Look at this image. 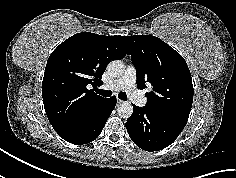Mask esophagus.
<instances>
[{
  "instance_id": "obj_1",
  "label": "esophagus",
  "mask_w": 236,
  "mask_h": 178,
  "mask_svg": "<svg viewBox=\"0 0 236 178\" xmlns=\"http://www.w3.org/2000/svg\"><path fill=\"white\" fill-rule=\"evenodd\" d=\"M122 103H124L123 100H121V99H117V104H122Z\"/></svg>"
}]
</instances>
